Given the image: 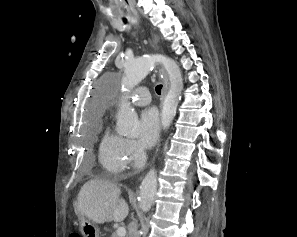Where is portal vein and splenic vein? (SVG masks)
Here are the masks:
<instances>
[{"instance_id":"obj_1","label":"portal vein and splenic vein","mask_w":297,"mask_h":237,"mask_svg":"<svg viewBox=\"0 0 297 237\" xmlns=\"http://www.w3.org/2000/svg\"><path fill=\"white\" fill-rule=\"evenodd\" d=\"M116 234L118 235V237H125V235H126V230H125V228H123V227H119V228L116 230Z\"/></svg>"}]
</instances>
